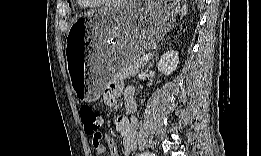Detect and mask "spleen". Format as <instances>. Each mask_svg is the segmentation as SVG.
I'll list each match as a JSON object with an SVG mask.
<instances>
[{"label":"spleen","instance_id":"3e777b00","mask_svg":"<svg viewBox=\"0 0 261 156\" xmlns=\"http://www.w3.org/2000/svg\"><path fill=\"white\" fill-rule=\"evenodd\" d=\"M180 12H181V16H182V17L187 14V6H186V4H184V5L182 6Z\"/></svg>","mask_w":261,"mask_h":156}]
</instances>
